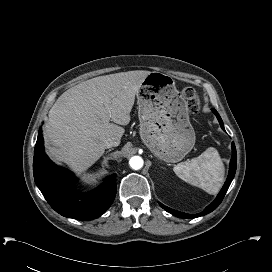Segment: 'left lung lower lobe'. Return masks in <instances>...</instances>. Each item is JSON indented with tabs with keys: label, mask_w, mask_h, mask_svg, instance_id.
<instances>
[{
	"label": "left lung lower lobe",
	"mask_w": 272,
	"mask_h": 272,
	"mask_svg": "<svg viewBox=\"0 0 272 272\" xmlns=\"http://www.w3.org/2000/svg\"><path fill=\"white\" fill-rule=\"evenodd\" d=\"M212 111L214 112V114L216 115L221 128L224 130V125H223V121L221 119V117L219 116L218 112L215 109H212ZM225 131V130H224ZM236 166H237V154H236V148L234 143H232V158L230 161V169H229V175L228 178L223 186V188L221 189L220 193L218 194V196L216 197V199L213 201V203H211L209 206H207L205 208V210L199 214H195V215H191V214H186V213H182L179 211H175L173 209H170L166 206H164L163 204L160 203V206L165 209L167 212L171 213L172 215L176 216V217H180V218H196L199 216H203L205 214H208L210 212H212L215 208L218 207V205L221 203L222 199L224 198L226 191L228 190L235 172H236Z\"/></svg>",
	"instance_id": "1"
}]
</instances>
